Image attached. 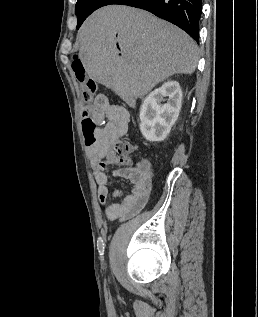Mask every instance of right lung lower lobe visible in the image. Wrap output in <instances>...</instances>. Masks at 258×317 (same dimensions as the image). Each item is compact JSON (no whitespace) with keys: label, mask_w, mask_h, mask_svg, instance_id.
<instances>
[{"label":"right lung lower lobe","mask_w":258,"mask_h":317,"mask_svg":"<svg viewBox=\"0 0 258 317\" xmlns=\"http://www.w3.org/2000/svg\"><path fill=\"white\" fill-rule=\"evenodd\" d=\"M110 4L128 5L147 10L177 25L199 43L202 0H86L76 14L77 29L92 12Z\"/></svg>","instance_id":"98d812e1"}]
</instances>
